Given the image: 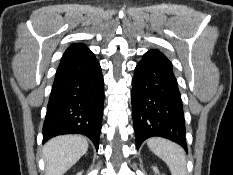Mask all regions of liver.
<instances>
[{
	"label": "liver",
	"mask_w": 233,
	"mask_h": 175,
	"mask_svg": "<svg viewBox=\"0 0 233 175\" xmlns=\"http://www.w3.org/2000/svg\"><path fill=\"white\" fill-rule=\"evenodd\" d=\"M88 142L81 135H62L49 140L43 149L46 175H63L87 151Z\"/></svg>",
	"instance_id": "obj_1"
}]
</instances>
